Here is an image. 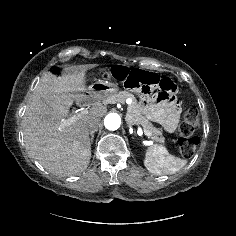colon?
<instances>
[{"mask_svg": "<svg viewBox=\"0 0 236 236\" xmlns=\"http://www.w3.org/2000/svg\"><path fill=\"white\" fill-rule=\"evenodd\" d=\"M103 76L123 83L127 89L139 90L143 95L162 92L163 95L171 96L174 93V84L171 80L139 70H130L124 66L107 69ZM198 124V111L195 108L188 109L179 126L178 138L180 152L185 157L192 156L200 143V138L195 134Z\"/></svg>", "mask_w": 236, "mask_h": 236, "instance_id": "colon-1", "label": "colon"}]
</instances>
